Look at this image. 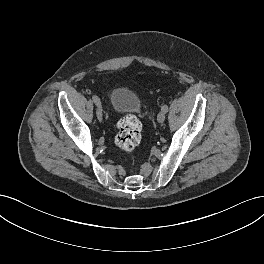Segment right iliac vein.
<instances>
[{"label": "right iliac vein", "mask_w": 264, "mask_h": 264, "mask_svg": "<svg viewBox=\"0 0 264 264\" xmlns=\"http://www.w3.org/2000/svg\"><path fill=\"white\" fill-rule=\"evenodd\" d=\"M96 115H97L98 120L99 121H102L103 114H102V107H101V105H97Z\"/></svg>", "instance_id": "right-iliac-vein-1"}]
</instances>
